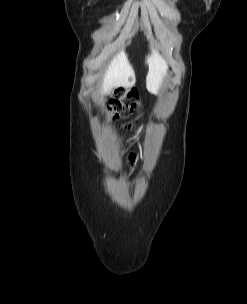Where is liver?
I'll return each mask as SVG.
<instances>
[{
  "instance_id": "obj_1",
  "label": "liver",
  "mask_w": 247,
  "mask_h": 304,
  "mask_svg": "<svg viewBox=\"0 0 247 304\" xmlns=\"http://www.w3.org/2000/svg\"><path fill=\"white\" fill-rule=\"evenodd\" d=\"M149 70L146 77V87L151 93H158L164 78L167 75L168 65L159 52L152 50L146 59ZM136 82L135 72L122 50L110 62L103 76L100 93L109 92L115 87L129 88Z\"/></svg>"
}]
</instances>
